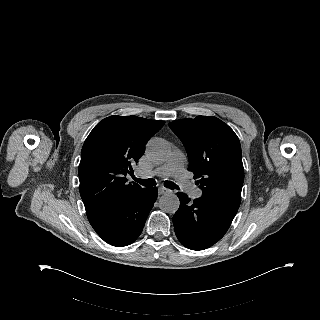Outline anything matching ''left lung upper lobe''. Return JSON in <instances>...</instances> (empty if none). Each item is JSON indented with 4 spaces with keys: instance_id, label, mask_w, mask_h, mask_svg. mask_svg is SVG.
I'll return each mask as SVG.
<instances>
[{
    "instance_id": "obj_1",
    "label": "left lung upper lobe",
    "mask_w": 320,
    "mask_h": 320,
    "mask_svg": "<svg viewBox=\"0 0 320 320\" xmlns=\"http://www.w3.org/2000/svg\"><path fill=\"white\" fill-rule=\"evenodd\" d=\"M169 127L185 146L188 170L198 179L202 197L237 212L244 168L240 142L234 131L211 116L175 120Z\"/></svg>"
}]
</instances>
